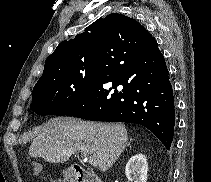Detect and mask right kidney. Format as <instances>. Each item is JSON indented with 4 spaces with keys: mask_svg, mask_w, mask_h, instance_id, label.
<instances>
[{
    "mask_svg": "<svg viewBox=\"0 0 211 182\" xmlns=\"http://www.w3.org/2000/svg\"><path fill=\"white\" fill-rule=\"evenodd\" d=\"M148 163L146 156L137 154L128 161L125 174L131 182H147Z\"/></svg>",
    "mask_w": 211,
    "mask_h": 182,
    "instance_id": "obj_1",
    "label": "right kidney"
}]
</instances>
